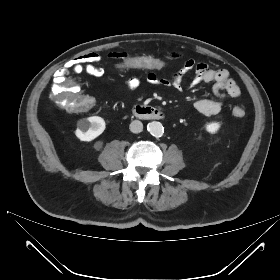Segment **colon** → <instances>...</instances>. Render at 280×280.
I'll list each match as a JSON object with an SVG mask.
<instances>
[{"mask_svg":"<svg viewBox=\"0 0 280 280\" xmlns=\"http://www.w3.org/2000/svg\"><path fill=\"white\" fill-rule=\"evenodd\" d=\"M119 66L123 70L138 67L142 72H147L149 70L163 72L167 68V63L160 58H155L146 54H136L121 58ZM68 73L69 72H58L56 74L51 89V99L61 103L64 107L73 108L77 113L92 111L95 107V101L91 95L86 94L81 97L76 93H69L68 86L70 83L66 78ZM233 114L236 117H243L245 111L241 107H236L233 110Z\"/></svg>","mask_w":280,"mask_h":280,"instance_id":"obj_1","label":"colon"}]
</instances>
